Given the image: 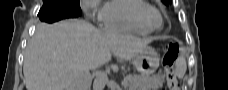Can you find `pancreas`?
<instances>
[{"mask_svg": "<svg viewBox=\"0 0 228 90\" xmlns=\"http://www.w3.org/2000/svg\"><path fill=\"white\" fill-rule=\"evenodd\" d=\"M124 80L126 81L125 87L128 90H156L164 83V80L159 77L143 75H128Z\"/></svg>", "mask_w": 228, "mask_h": 90, "instance_id": "1", "label": "pancreas"}]
</instances>
